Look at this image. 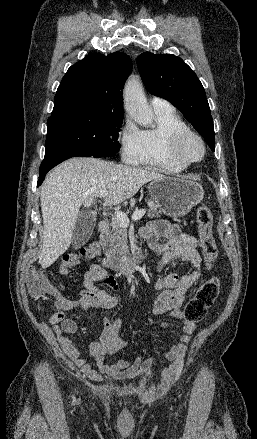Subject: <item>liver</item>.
<instances>
[{"label": "liver", "instance_id": "liver-1", "mask_svg": "<svg viewBox=\"0 0 257 439\" xmlns=\"http://www.w3.org/2000/svg\"><path fill=\"white\" fill-rule=\"evenodd\" d=\"M164 177L149 168L131 167L95 158H72L47 176L40 201L43 245L39 263L51 266L69 248L80 207H91L107 190L104 205H116L133 197L146 183Z\"/></svg>", "mask_w": 257, "mask_h": 439}]
</instances>
